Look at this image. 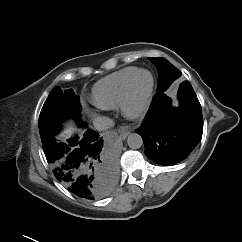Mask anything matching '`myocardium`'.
Returning a JSON list of instances; mask_svg holds the SVG:
<instances>
[{
	"instance_id": "myocardium-1",
	"label": "myocardium",
	"mask_w": 242,
	"mask_h": 242,
	"mask_svg": "<svg viewBox=\"0 0 242 242\" xmlns=\"http://www.w3.org/2000/svg\"><path fill=\"white\" fill-rule=\"evenodd\" d=\"M142 73H146L149 75L150 83L142 100L138 105L135 106L133 105V101H132L134 85L137 77ZM154 88H155V79L153 74L149 70L138 69L128 81L125 87V90L123 92V95L121 97L119 108L122 114L130 120H138L143 118L147 114L151 106Z\"/></svg>"
}]
</instances>
